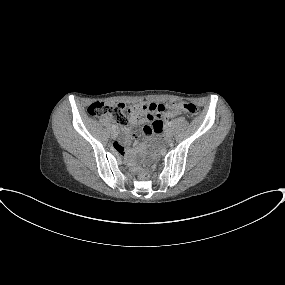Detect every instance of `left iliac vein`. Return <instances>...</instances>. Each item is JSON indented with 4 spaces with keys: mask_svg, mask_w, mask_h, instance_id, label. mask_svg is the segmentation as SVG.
I'll return each instance as SVG.
<instances>
[{
    "mask_svg": "<svg viewBox=\"0 0 285 285\" xmlns=\"http://www.w3.org/2000/svg\"><path fill=\"white\" fill-rule=\"evenodd\" d=\"M165 136L167 139H171L173 137V132L172 130L168 129L165 133Z\"/></svg>",
    "mask_w": 285,
    "mask_h": 285,
    "instance_id": "1",
    "label": "left iliac vein"
}]
</instances>
